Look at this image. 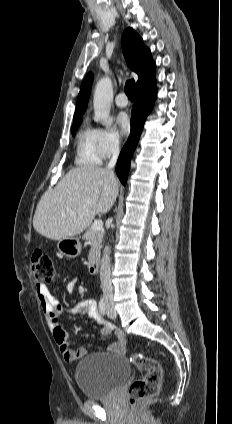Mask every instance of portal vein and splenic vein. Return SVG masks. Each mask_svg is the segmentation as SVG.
<instances>
[{
    "label": "portal vein and splenic vein",
    "instance_id": "18ae733b",
    "mask_svg": "<svg viewBox=\"0 0 232 424\" xmlns=\"http://www.w3.org/2000/svg\"><path fill=\"white\" fill-rule=\"evenodd\" d=\"M92 228L94 230H102L103 229V222H102V220H96V221H94V223L92 224Z\"/></svg>",
    "mask_w": 232,
    "mask_h": 424
}]
</instances>
